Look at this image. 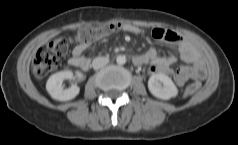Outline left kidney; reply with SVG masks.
Instances as JSON below:
<instances>
[{"label":"left kidney","instance_id":"left-kidney-1","mask_svg":"<svg viewBox=\"0 0 238 145\" xmlns=\"http://www.w3.org/2000/svg\"><path fill=\"white\" fill-rule=\"evenodd\" d=\"M148 89L157 98L168 100L177 96L178 89L167 75L153 74L148 80Z\"/></svg>","mask_w":238,"mask_h":145}]
</instances>
